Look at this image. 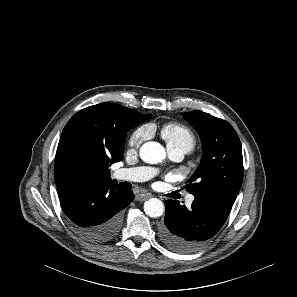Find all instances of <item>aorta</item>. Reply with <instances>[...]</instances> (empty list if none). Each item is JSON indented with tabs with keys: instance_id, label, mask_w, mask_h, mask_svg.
I'll list each match as a JSON object with an SVG mask.
<instances>
[{
	"instance_id": "obj_1",
	"label": "aorta",
	"mask_w": 297,
	"mask_h": 297,
	"mask_svg": "<svg viewBox=\"0 0 297 297\" xmlns=\"http://www.w3.org/2000/svg\"><path fill=\"white\" fill-rule=\"evenodd\" d=\"M139 155L144 162L155 164L165 158V149L160 143L149 141L140 147ZM164 209L163 202L157 198H151L144 204L145 213L153 218L162 216Z\"/></svg>"
}]
</instances>
